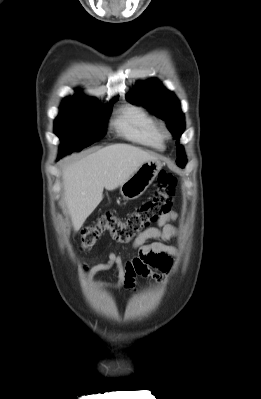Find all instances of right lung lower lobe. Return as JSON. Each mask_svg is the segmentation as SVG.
I'll return each instance as SVG.
<instances>
[{
    "label": "right lung lower lobe",
    "mask_w": 261,
    "mask_h": 399,
    "mask_svg": "<svg viewBox=\"0 0 261 399\" xmlns=\"http://www.w3.org/2000/svg\"><path fill=\"white\" fill-rule=\"evenodd\" d=\"M61 157H63V155L60 153L58 159H60Z\"/></svg>",
    "instance_id": "right-lung-lower-lobe-1"
}]
</instances>
